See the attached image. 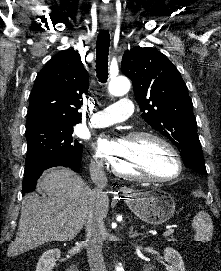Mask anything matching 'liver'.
<instances>
[{"label":"liver","instance_id":"obj_1","mask_svg":"<svg viewBox=\"0 0 221 271\" xmlns=\"http://www.w3.org/2000/svg\"><path fill=\"white\" fill-rule=\"evenodd\" d=\"M37 187L47 197H39L38 193L24 195L17 235L7 249L8 257L46 241H71L84 225L92 189L81 175L69 167H53L44 171ZM99 205L106 217L108 197L100 199Z\"/></svg>","mask_w":221,"mask_h":271}]
</instances>
